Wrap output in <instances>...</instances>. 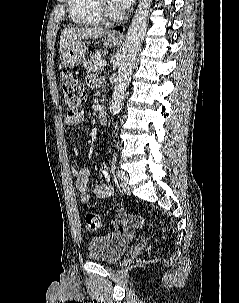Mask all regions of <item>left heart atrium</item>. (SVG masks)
Here are the masks:
<instances>
[{
    "instance_id": "left-heart-atrium-1",
    "label": "left heart atrium",
    "mask_w": 239,
    "mask_h": 303,
    "mask_svg": "<svg viewBox=\"0 0 239 303\" xmlns=\"http://www.w3.org/2000/svg\"><path fill=\"white\" fill-rule=\"evenodd\" d=\"M132 2L133 0H112V3L117 8V10L127 9Z\"/></svg>"
}]
</instances>
